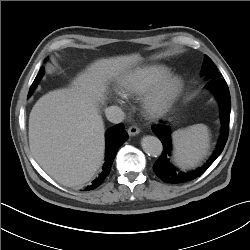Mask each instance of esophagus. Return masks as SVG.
<instances>
[{
    "label": "esophagus",
    "instance_id": "34e87169",
    "mask_svg": "<svg viewBox=\"0 0 250 250\" xmlns=\"http://www.w3.org/2000/svg\"><path fill=\"white\" fill-rule=\"evenodd\" d=\"M129 136H135V135H138L140 133V129L135 126V125H132L128 128L127 130Z\"/></svg>",
    "mask_w": 250,
    "mask_h": 250
}]
</instances>
